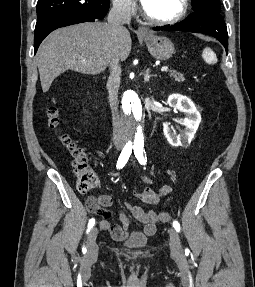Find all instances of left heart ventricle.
I'll list each match as a JSON object with an SVG mask.
<instances>
[{
	"label": "left heart ventricle",
	"mask_w": 255,
	"mask_h": 287,
	"mask_svg": "<svg viewBox=\"0 0 255 287\" xmlns=\"http://www.w3.org/2000/svg\"><path fill=\"white\" fill-rule=\"evenodd\" d=\"M149 33H169V32H149ZM125 39H127V38H125ZM152 39H166V38H152ZM151 48H165V47H151Z\"/></svg>",
	"instance_id": "b2bd125f"
}]
</instances>
